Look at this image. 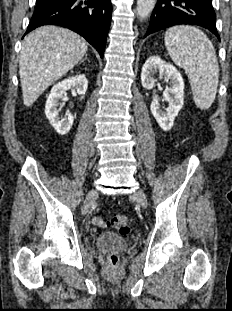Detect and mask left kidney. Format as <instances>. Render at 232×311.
Returning a JSON list of instances; mask_svg holds the SVG:
<instances>
[{
    "label": "left kidney",
    "instance_id": "left-kidney-1",
    "mask_svg": "<svg viewBox=\"0 0 232 311\" xmlns=\"http://www.w3.org/2000/svg\"><path fill=\"white\" fill-rule=\"evenodd\" d=\"M166 75L170 81V87L164 91V99L168 102L166 112L159 106L158 98L153 97L150 105L151 112L159 126L168 131L172 128L174 119L184 104V81L180 72L170 63L165 62L159 56L149 57L142 67L141 83L145 89H152L156 79L154 74Z\"/></svg>",
    "mask_w": 232,
    "mask_h": 311
}]
</instances>
